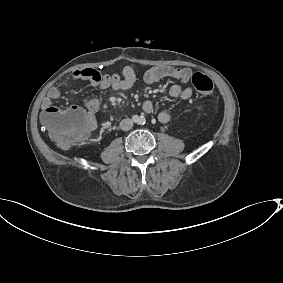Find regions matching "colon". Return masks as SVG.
<instances>
[{
	"label": "colon",
	"mask_w": 283,
	"mask_h": 283,
	"mask_svg": "<svg viewBox=\"0 0 283 283\" xmlns=\"http://www.w3.org/2000/svg\"><path fill=\"white\" fill-rule=\"evenodd\" d=\"M191 81L202 94H210L213 90L212 80L202 73H195ZM42 123L49 134L64 146L85 141L94 126L92 118L76 107L63 111L50 108L43 113Z\"/></svg>",
	"instance_id": "obj_1"
}]
</instances>
